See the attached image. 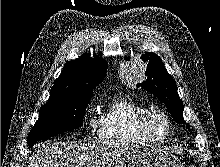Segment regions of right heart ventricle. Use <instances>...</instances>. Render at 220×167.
Masks as SVG:
<instances>
[{
    "mask_svg": "<svg viewBox=\"0 0 220 167\" xmlns=\"http://www.w3.org/2000/svg\"><path fill=\"white\" fill-rule=\"evenodd\" d=\"M149 108L128 95L115 96L105 108L99 135L114 144L148 142L140 130V120Z\"/></svg>",
    "mask_w": 220,
    "mask_h": 167,
    "instance_id": "e07e8e85",
    "label": "right heart ventricle"
}]
</instances>
